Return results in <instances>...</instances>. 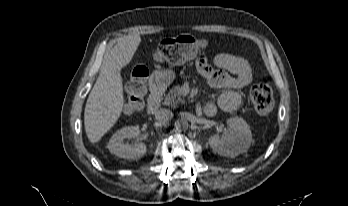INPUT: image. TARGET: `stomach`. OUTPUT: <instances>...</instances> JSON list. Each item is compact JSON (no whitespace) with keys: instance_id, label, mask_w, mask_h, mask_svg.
Segmentation results:
<instances>
[{"instance_id":"obj_1","label":"stomach","mask_w":348,"mask_h":206,"mask_svg":"<svg viewBox=\"0 0 348 206\" xmlns=\"http://www.w3.org/2000/svg\"><path fill=\"white\" fill-rule=\"evenodd\" d=\"M182 48L186 51V56L189 59L196 57L200 49L207 46V41L198 40L192 35H183L180 38ZM175 78V73L171 69L155 71L152 75V80L158 86H168Z\"/></svg>"}]
</instances>
